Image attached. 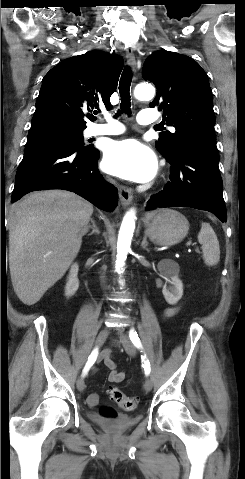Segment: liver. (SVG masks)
<instances>
[{
	"mask_svg": "<svg viewBox=\"0 0 245 479\" xmlns=\"http://www.w3.org/2000/svg\"><path fill=\"white\" fill-rule=\"evenodd\" d=\"M92 214V204L63 190L36 191L12 206L9 267L24 304L37 303L66 273Z\"/></svg>",
	"mask_w": 245,
	"mask_h": 479,
	"instance_id": "liver-1",
	"label": "liver"
}]
</instances>
